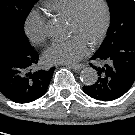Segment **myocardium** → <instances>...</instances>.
<instances>
[{"label": "myocardium", "mask_w": 135, "mask_h": 135, "mask_svg": "<svg viewBox=\"0 0 135 135\" xmlns=\"http://www.w3.org/2000/svg\"><path fill=\"white\" fill-rule=\"evenodd\" d=\"M89 1L90 0H80L78 4L76 5L73 13L69 17V21H71L74 24H79L83 7ZM97 1L100 3L102 7L103 20H102V24L99 31L92 37V39L89 42L91 45L98 44L105 37L109 29L110 21H111V12H110V7L107 0H97Z\"/></svg>", "instance_id": "myocardium-1"}]
</instances>
